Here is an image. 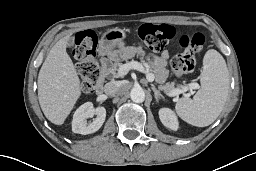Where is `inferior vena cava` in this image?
<instances>
[{"mask_svg":"<svg viewBox=\"0 0 256 171\" xmlns=\"http://www.w3.org/2000/svg\"><path fill=\"white\" fill-rule=\"evenodd\" d=\"M118 85L116 82H108L107 84H105L104 86V92L107 94V95H115L118 91Z\"/></svg>","mask_w":256,"mask_h":171,"instance_id":"inferior-vena-cava-1","label":"inferior vena cava"}]
</instances>
